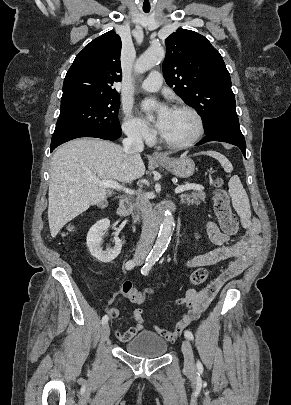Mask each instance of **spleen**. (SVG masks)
<instances>
[{
  "label": "spleen",
  "mask_w": 291,
  "mask_h": 405,
  "mask_svg": "<svg viewBox=\"0 0 291 405\" xmlns=\"http://www.w3.org/2000/svg\"><path fill=\"white\" fill-rule=\"evenodd\" d=\"M206 154L217 159L224 168L225 172L231 173L233 171L231 162L224 155L216 151H208ZM182 156H186V153ZM228 187L234 209L237 211L243 222L249 221L251 211L248 195L237 175L230 177Z\"/></svg>",
  "instance_id": "3e777b00"
}]
</instances>
